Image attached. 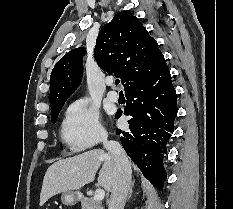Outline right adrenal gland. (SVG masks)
<instances>
[{
    "label": "right adrenal gland",
    "instance_id": "obj_1",
    "mask_svg": "<svg viewBox=\"0 0 233 209\" xmlns=\"http://www.w3.org/2000/svg\"><path fill=\"white\" fill-rule=\"evenodd\" d=\"M134 186V181H132V184H131V187H130V190H129V194H128V199L131 197L132 195V188Z\"/></svg>",
    "mask_w": 233,
    "mask_h": 209
}]
</instances>
